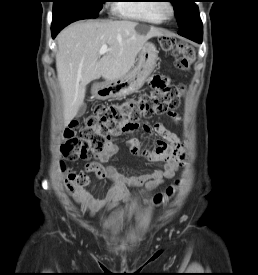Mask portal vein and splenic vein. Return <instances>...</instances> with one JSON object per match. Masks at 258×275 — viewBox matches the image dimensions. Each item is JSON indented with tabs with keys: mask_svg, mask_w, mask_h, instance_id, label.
<instances>
[{
	"mask_svg": "<svg viewBox=\"0 0 258 275\" xmlns=\"http://www.w3.org/2000/svg\"><path fill=\"white\" fill-rule=\"evenodd\" d=\"M108 46L107 45H102L100 50H99V55H103L108 51Z\"/></svg>",
	"mask_w": 258,
	"mask_h": 275,
	"instance_id": "1",
	"label": "portal vein and splenic vein"
}]
</instances>
